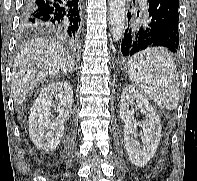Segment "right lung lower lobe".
I'll return each mask as SVG.
<instances>
[{
    "instance_id": "obj_1",
    "label": "right lung lower lobe",
    "mask_w": 197,
    "mask_h": 181,
    "mask_svg": "<svg viewBox=\"0 0 197 181\" xmlns=\"http://www.w3.org/2000/svg\"><path fill=\"white\" fill-rule=\"evenodd\" d=\"M83 0H24L21 25L44 27L72 43L79 41Z\"/></svg>"
}]
</instances>
